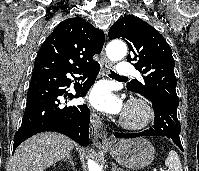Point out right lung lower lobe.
I'll list each match as a JSON object with an SVG mask.
<instances>
[{
    "label": "right lung lower lobe",
    "instance_id": "1",
    "mask_svg": "<svg viewBox=\"0 0 199 171\" xmlns=\"http://www.w3.org/2000/svg\"><path fill=\"white\" fill-rule=\"evenodd\" d=\"M99 70L100 65L94 62L83 69L74 71L34 72L27 92L22 124L14 136L13 149L15 150L27 138L44 131L62 133L80 145L89 144L90 111L88 107L86 105H65L59 97L64 93H66L64 97L68 96L70 99L85 96L93 85ZM67 73L83 74V78L87 77L83 85H74L76 95L68 94L66 89H61L70 86L71 81L67 78Z\"/></svg>",
    "mask_w": 199,
    "mask_h": 171
}]
</instances>
